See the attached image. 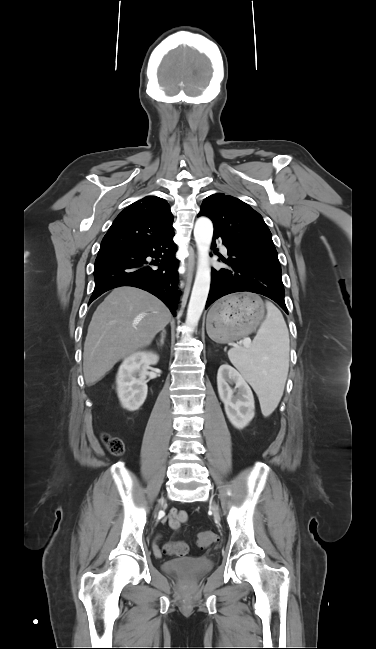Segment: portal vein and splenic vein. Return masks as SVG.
Wrapping results in <instances>:
<instances>
[{"label":"portal vein and splenic vein","mask_w":376,"mask_h":649,"mask_svg":"<svg viewBox=\"0 0 376 649\" xmlns=\"http://www.w3.org/2000/svg\"><path fill=\"white\" fill-rule=\"evenodd\" d=\"M250 342H251L250 338H245V339L243 340V344H244V345H248V344H250Z\"/></svg>","instance_id":"18ae733b"}]
</instances>
